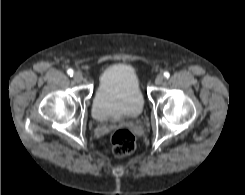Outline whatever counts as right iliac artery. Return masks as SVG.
<instances>
[{
    "mask_svg": "<svg viewBox=\"0 0 245 195\" xmlns=\"http://www.w3.org/2000/svg\"><path fill=\"white\" fill-rule=\"evenodd\" d=\"M67 74H68L69 76H73L74 71H73L72 69H69V70L67 71Z\"/></svg>",
    "mask_w": 245,
    "mask_h": 195,
    "instance_id": "obj_1",
    "label": "right iliac artery"
}]
</instances>
